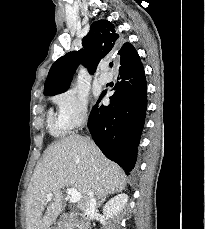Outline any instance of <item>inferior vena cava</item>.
I'll use <instances>...</instances> for the list:
<instances>
[{"mask_svg":"<svg viewBox=\"0 0 205 229\" xmlns=\"http://www.w3.org/2000/svg\"><path fill=\"white\" fill-rule=\"evenodd\" d=\"M95 208H96L95 193L93 190H90L88 192V198L85 202V207H84V213L87 216V218L95 210Z\"/></svg>","mask_w":205,"mask_h":229,"instance_id":"1","label":"inferior vena cava"}]
</instances>
